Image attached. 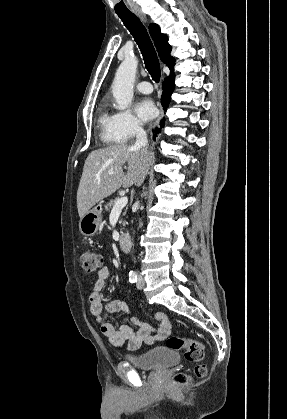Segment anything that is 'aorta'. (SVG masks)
Here are the masks:
<instances>
[{
	"mask_svg": "<svg viewBox=\"0 0 287 419\" xmlns=\"http://www.w3.org/2000/svg\"><path fill=\"white\" fill-rule=\"evenodd\" d=\"M137 66L135 56H126L116 71L112 92L120 110L126 109L132 101Z\"/></svg>",
	"mask_w": 287,
	"mask_h": 419,
	"instance_id": "aorta-1",
	"label": "aorta"
}]
</instances>
